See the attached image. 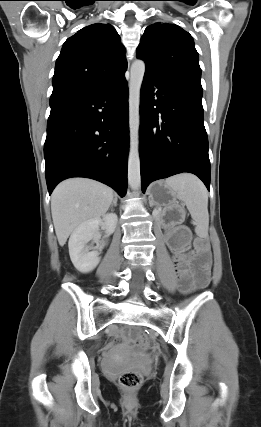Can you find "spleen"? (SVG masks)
Masks as SVG:
<instances>
[{"instance_id":"1","label":"spleen","mask_w":261,"mask_h":427,"mask_svg":"<svg viewBox=\"0 0 261 427\" xmlns=\"http://www.w3.org/2000/svg\"><path fill=\"white\" fill-rule=\"evenodd\" d=\"M166 184L172 188L179 200L187 206L195 232L200 237L208 235L209 213L208 192L204 184L192 174H179L168 178Z\"/></svg>"}]
</instances>
